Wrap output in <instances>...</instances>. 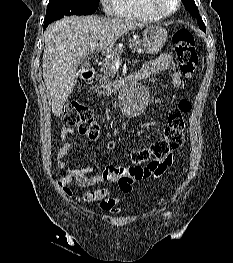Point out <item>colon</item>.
I'll list each match as a JSON object with an SVG mask.
<instances>
[{"instance_id": "1", "label": "colon", "mask_w": 233, "mask_h": 263, "mask_svg": "<svg viewBox=\"0 0 233 263\" xmlns=\"http://www.w3.org/2000/svg\"><path fill=\"white\" fill-rule=\"evenodd\" d=\"M173 43L180 71L186 77H192L198 63L194 35L187 29H179L173 35ZM191 108L188 99L180 100L178 106L168 114L162 137L147 148L132 151L129 154L131 165L123 166L120 172L134 177L142 176L143 168L146 167L151 168L155 175L163 172L170 165L173 153L183 145L185 116ZM61 121L65 127L75 128L78 134L91 141H96L101 136L100 126L95 121L92 111L77 101L64 108ZM142 164H146V167H142Z\"/></svg>"}]
</instances>
